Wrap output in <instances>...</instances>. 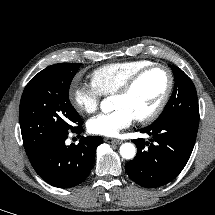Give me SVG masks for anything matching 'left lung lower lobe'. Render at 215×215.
Instances as JSON below:
<instances>
[{
    "instance_id": "obj_1",
    "label": "left lung lower lobe",
    "mask_w": 215,
    "mask_h": 215,
    "mask_svg": "<svg viewBox=\"0 0 215 215\" xmlns=\"http://www.w3.org/2000/svg\"><path fill=\"white\" fill-rule=\"evenodd\" d=\"M198 125L170 120L140 129L152 136L149 142L136 139V157L126 163L128 176L137 184L152 188L172 181L186 165L193 150Z\"/></svg>"
}]
</instances>
